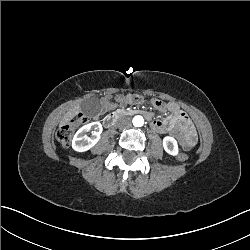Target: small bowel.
I'll use <instances>...</instances> for the list:
<instances>
[{
	"instance_id": "obj_1",
	"label": "small bowel",
	"mask_w": 250,
	"mask_h": 250,
	"mask_svg": "<svg viewBox=\"0 0 250 250\" xmlns=\"http://www.w3.org/2000/svg\"><path fill=\"white\" fill-rule=\"evenodd\" d=\"M135 95H119L115 99L111 96H104L100 100L101 112L112 110L117 107V105H128V104H138L134 101ZM141 103V102H140ZM153 105L159 110L169 111L172 114V133L176 137H180L183 140V145L185 147H190L188 142L191 138L196 140V132L188 119L187 115L181 111L177 104L169 102L165 103L159 99L153 100ZM149 115V114H148ZM151 127L154 131L162 133L165 132V124L160 120H155L152 122Z\"/></svg>"
}]
</instances>
